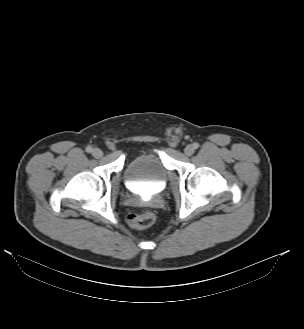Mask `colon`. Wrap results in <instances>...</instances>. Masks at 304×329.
<instances>
[{"label": "colon", "mask_w": 304, "mask_h": 329, "mask_svg": "<svg viewBox=\"0 0 304 329\" xmlns=\"http://www.w3.org/2000/svg\"><path fill=\"white\" fill-rule=\"evenodd\" d=\"M126 220L131 228L142 230L151 227L156 220V216L151 211H146L142 214L131 213Z\"/></svg>", "instance_id": "5ec220e1"}]
</instances>
